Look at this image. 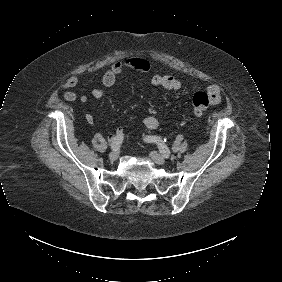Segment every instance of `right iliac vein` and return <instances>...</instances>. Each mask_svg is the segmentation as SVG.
Here are the masks:
<instances>
[{"instance_id": "1", "label": "right iliac vein", "mask_w": 282, "mask_h": 282, "mask_svg": "<svg viewBox=\"0 0 282 282\" xmlns=\"http://www.w3.org/2000/svg\"><path fill=\"white\" fill-rule=\"evenodd\" d=\"M119 157V153L117 151H112L110 154H109V159L110 161H116Z\"/></svg>"}]
</instances>
